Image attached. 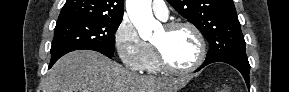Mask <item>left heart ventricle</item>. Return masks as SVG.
Wrapping results in <instances>:
<instances>
[{
  "instance_id": "1",
  "label": "left heart ventricle",
  "mask_w": 289,
  "mask_h": 92,
  "mask_svg": "<svg viewBox=\"0 0 289 92\" xmlns=\"http://www.w3.org/2000/svg\"><path fill=\"white\" fill-rule=\"evenodd\" d=\"M170 64L185 68L192 65L199 54V44L194 33L188 28L168 31L162 28L153 39Z\"/></svg>"
}]
</instances>
